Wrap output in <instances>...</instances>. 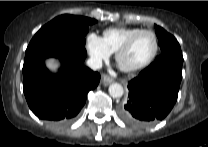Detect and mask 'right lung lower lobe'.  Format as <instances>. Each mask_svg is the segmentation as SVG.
<instances>
[{"mask_svg": "<svg viewBox=\"0 0 208 147\" xmlns=\"http://www.w3.org/2000/svg\"><path fill=\"white\" fill-rule=\"evenodd\" d=\"M84 45L67 34L28 45L23 64V90L38 118L56 124L71 121L84 106L87 93L97 87L100 74L84 66ZM49 57H56L62 63L59 73L52 78L44 63Z\"/></svg>", "mask_w": 208, "mask_h": 147, "instance_id": "98d812e1", "label": "right lung lower lobe"}]
</instances>
